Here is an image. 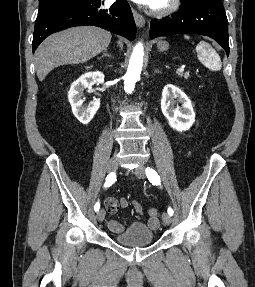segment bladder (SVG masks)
<instances>
[{
	"label": "bladder",
	"mask_w": 255,
	"mask_h": 287,
	"mask_svg": "<svg viewBox=\"0 0 255 287\" xmlns=\"http://www.w3.org/2000/svg\"><path fill=\"white\" fill-rule=\"evenodd\" d=\"M117 243L126 246L147 245L155 237L154 230L143 222H133L121 232L114 234Z\"/></svg>",
	"instance_id": "obj_1"
}]
</instances>
